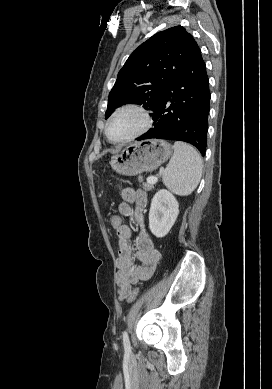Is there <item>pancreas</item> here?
Returning <instances> with one entry per match:
<instances>
[{"label": "pancreas", "instance_id": "1", "mask_svg": "<svg viewBox=\"0 0 272 389\" xmlns=\"http://www.w3.org/2000/svg\"><path fill=\"white\" fill-rule=\"evenodd\" d=\"M153 185H154V184L149 183V182H148V179H147V182H146V183H143V188H144L145 190H152V189H153Z\"/></svg>", "mask_w": 272, "mask_h": 389}]
</instances>
